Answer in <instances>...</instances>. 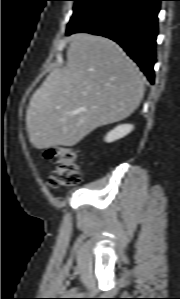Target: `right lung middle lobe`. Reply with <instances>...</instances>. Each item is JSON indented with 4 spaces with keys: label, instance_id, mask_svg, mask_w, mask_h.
<instances>
[{
    "label": "right lung middle lobe",
    "instance_id": "right-lung-middle-lobe-1",
    "mask_svg": "<svg viewBox=\"0 0 180 299\" xmlns=\"http://www.w3.org/2000/svg\"><path fill=\"white\" fill-rule=\"evenodd\" d=\"M75 1L73 15L70 19L68 27L75 24L79 19L83 18L89 12H91L96 6H98L104 0H72Z\"/></svg>",
    "mask_w": 180,
    "mask_h": 299
}]
</instances>
